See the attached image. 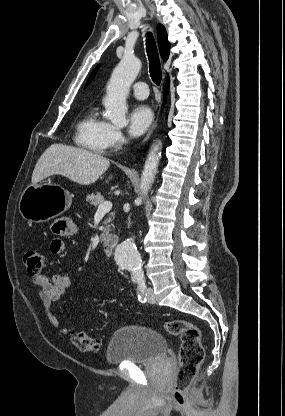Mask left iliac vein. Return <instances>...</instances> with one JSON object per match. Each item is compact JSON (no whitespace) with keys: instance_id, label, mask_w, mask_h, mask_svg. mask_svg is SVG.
<instances>
[{"instance_id":"left-iliac-vein-1","label":"left iliac vein","mask_w":285,"mask_h":416,"mask_svg":"<svg viewBox=\"0 0 285 416\" xmlns=\"http://www.w3.org/2000/svg\"><path fill=\"white\" fill-rule=\"evenodd\" d=\"M146 297L148 302L155 303V297L152 288H147Z\"/></svg>"}]
</instances>
